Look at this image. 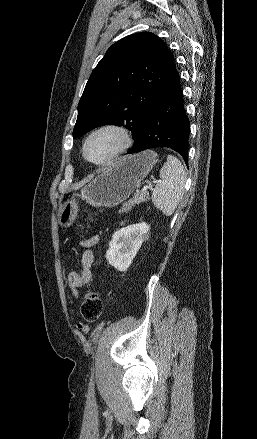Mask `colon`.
Instances as JSON below:
<instances>
[{
  "label": "colon",
  "instance_id": "5ec220e1",
  "mask_svg": "<svg viewBox=\"0 0 257 439\" xmlns=\"http://www.w3.org/2000/svg\"><path fill=\"white\" fill-rule=\"evenodd\" d=\"M94 214L89 216L87 224H89ZM68 283L70 287H78L81 284L80 272L72 271L68 274ZM103 312V301L100 295L95 291H89L85 294L82 305L81 315L87 322H94L100 318Z\"/></svg>",
  "mask_w": 257,
  "mask_h": 439
}]
</instances>
